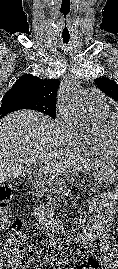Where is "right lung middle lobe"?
<instances>
[{
	"mask_svg": "<svg viewBox=\"0 0 118 269\" xmlns=\"http://www.w3.org/2000/svg\"><path fill=\"white\" fill-rule=\"evenodd\" d=\"M20 109L36 110L49 115L53 119H55L56 116V105H43L24 95L9 94L4 95L2 99V105L0 107V119L6 114Z\"/></svg>",
	"mask_w": 118,
	"mask_h": 269,
	"instance_id": "1",
	"label": "right lung middle lobe"
}]
</instances>
